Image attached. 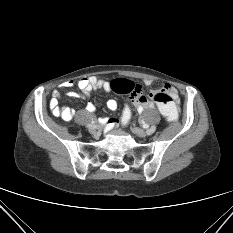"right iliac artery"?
<instances>
[{
    "label": "right iliac artery",
    "instance_id": "1",
    "mask_svg": "<svg viewBox=\"0 0 233 233\" xmlns=\"http://www.w3.org/2000/svg\"><path fill=\"white\" fill-rule=\"evenodd\" d=\"M93 127H94V128H103V125H100V124H96V125H95V124H93V123L87 125V128H89V129H90V128H93Z\"/></svg>",
    "mask_w": 233,
    "mask_h": 233
}]
</instances>
